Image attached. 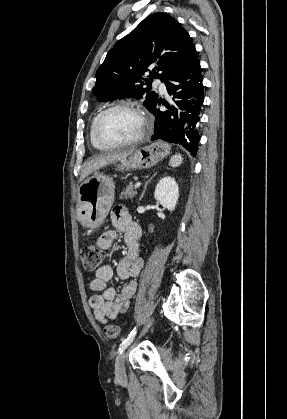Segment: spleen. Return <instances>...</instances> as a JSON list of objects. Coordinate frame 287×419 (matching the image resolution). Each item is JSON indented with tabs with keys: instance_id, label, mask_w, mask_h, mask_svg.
Instances as JSON below:
<instances>
[{
	"instance_id": "obj_1",
	"label": "spleen",
	"mask_w": 287,
	"mask_h": 419,
	"mask_svg": "<svg viewBox=\"0 0 287 419\" xmlns=\"http://www.w3.org/2000/svg\"><path fill=\"white\" fill-rule=\"evenodd\" d=\"M182 161H183V158L181 154H175L174 156L171 157L169 165L175 168V167L180 166Z\"/></svg>"
}]
</instances>
